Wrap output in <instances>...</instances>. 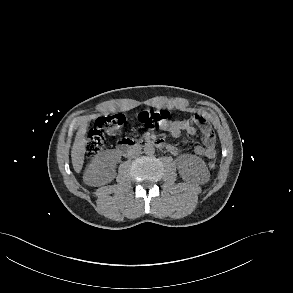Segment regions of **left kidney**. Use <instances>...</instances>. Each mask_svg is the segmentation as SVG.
<instances>
[{"label": "left kidney", "instance_id": "1", "mask_svg": "<svg viewBox=\"0 0 293 293\" xmlns=\"http://www.w3.org/2000/svg\"><path fill=\"white\" fill-rule=\"evenodd\" d=\"M177 166L183 180L201 182L209 178L205 162L196 155H181L177 159Z\"/></svg>", "mask_w": 293, "mask_h": 293}]
</instances>
